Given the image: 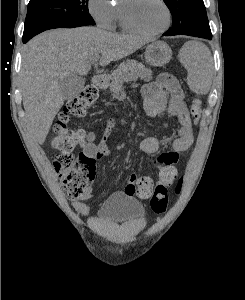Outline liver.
<instances>
[{"label":"liver","mask_w":245,"mask_h":300,"mask_svg":"<svg viewBox=\"0 0 245 300\" xmlns=\"http://www.w3.org/2000/svg\"><path fill=\"white\" fill-rule=\"evenodd\" d=\"M148 43L144 37L121 35L96 27L54 29L31 39L22 55L23 106L34 140L43 144L64 103L59 81L74 73L86 75L91 60L102 66L134 53Z\"/></svg>","instance_id":"obj_1"}]
</instances>
